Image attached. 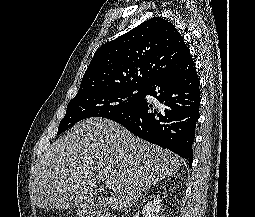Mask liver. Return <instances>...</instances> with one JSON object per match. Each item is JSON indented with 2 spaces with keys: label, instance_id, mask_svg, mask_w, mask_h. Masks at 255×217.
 <instances>
[{
  "label": "liver",
  "instance_id": "obj_1",
  "mask_svg": "<svg viewBox=\"0 0 255 217\" xmlns=\"http://www.w3.org/2000/svg\"><path fill=\"white\" fill-rule=\"evenodd\" d=\"M180 166L177 155L118 123L90 118L74 125L39 158L32 173L31 198L39 208L68 209L92 197L98 184L108 180L116 191L107 204L122 211Z\"/></svg>",
  "mask_w": 255,
  "mask_h": 217
}]
</instances>
